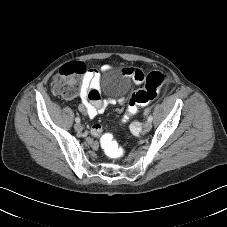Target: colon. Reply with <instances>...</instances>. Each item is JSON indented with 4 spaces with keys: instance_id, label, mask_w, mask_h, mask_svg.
<instances>
[{
    "instance_id": "1",
    "label": "colon",
    "mask_w": 227,
    "mask_h": 227,
    "mask_svg": "<svg viewBox=\"0 0 227 227\" xmlns=\"http://www.w3.org/2000/svg\"><path fill=\"white\" fill-rule=\"evenodd\" d=\"M83 73V67L79 63L66 64L60 73L57 74L53 81V87L55 91L65 97H73L76 94L79 77ZM135 80L142 78V72L137 70L135 72H129ZM168 76L160 71H154L147 74L144 77V86L137 91L133 92L128 100V115H134L138 111L140 106H144L152 101L163 85L167 82ZM100 95L98 90L92 89L90 91V99L97 101ZM128 120V116L124 119V122ZM101 147L105 154L111 159L119 158L123 153V148L119 146L113 136L105 135L101 138Z\"/></svg>"
}]
</instances>
